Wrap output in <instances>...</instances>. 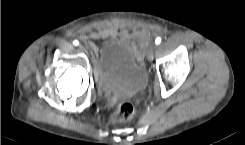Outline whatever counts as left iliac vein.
<instances>
[{
	"label": "left iliac vein",
	"mask_w": 245,
	"mask_h": 145,
	"mask_svg": "<svg viewBox=\"0 0 245 145\" xmlns=\"http://www.w3.org/2000/svg\"><path fill=\"white\" fill-rule=\"evenodd\" d=\"M156 45L151 44L147 50H146V56L149 61H152L154 58V53H155Z\"/></svg>",
	"instance_id": "1"
}]
</instances>
